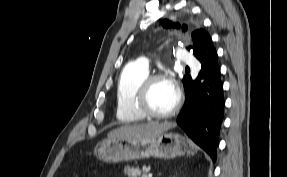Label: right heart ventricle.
Wrapping results in <instances>:
<instances>
[{
    "label": "right heart ventricle",
    "mask_w": 287,
    "mask_h": 177,
    "mask_svg": "<svg viewBox=\"0 0 287 177\" xmlns=\"http://www.w3.org/2000/svg\"><path fill=\"white\" fill-rule=\"evenodd\" d=\"M149 75V69L132 63L125 66L116 85V118L124 124L136 123L144 119L134 106V99L139 86Z\"/></svg>",
    "instance_id": "right-heart-ventricle-1"
}]
</instances>
